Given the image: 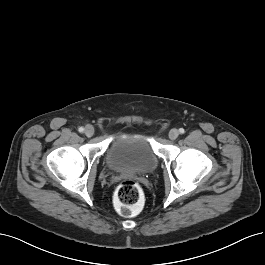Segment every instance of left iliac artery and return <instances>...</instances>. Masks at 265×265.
I'll use <instances>...</instances> for the list:
<instances>
[{
  "label": "left iliac artery",
  "instance_id": "obj_1",
  "mask_svg": "<svg viewBox=\"0 0 265 265\" xmlns=\"http://www.w3.org/2000/svg\"><path fill=\"white\" fill-rule=\"evenodd\" d=\"M179 132H180L181 134H183V133H185V130H184L183 128H180V129H179Z\"/></svg>",
  "mask_w": 265,
  "mask_h": 265
}]
</instances>
